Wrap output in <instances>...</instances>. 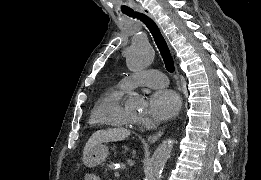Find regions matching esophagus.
I'll use <instances>...</instances> for the list:
<instances>
[{"mask_svg": "<svg viewBox=\"0 0 261 180\" xmlns=\"http://www.w3.org/2000/svg\"><path fill=\"white\" fill-rule=\"evenodd\" d=\"M139 10L144 13L145 15H148V17L154 19V17L151 15V13L148 12V10H146L145 8H139ZM175 68H176V72L178 74V69H177V65L175 63ZM163 130H160L159 132L155 133L154 135H150V137H148V141L153 143L156 142L163 134Z\"/></svg>", "mask_w": 261, "mask_h": 180, "instance_id": "34e87169", "label": "esophagus"}]
</instances>
